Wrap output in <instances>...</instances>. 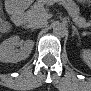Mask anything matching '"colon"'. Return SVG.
I'll return each instance as SVG.
<instances>
[{
    "label": "colon",
    "instance_id": "5ec220e1",
    "mask_svg": "<svg viewBox=\"0 0 91 91\" xmlns=\"http://www.w3.org/2000/svg\"><path fill=\"white\" fill-rule=\"evenodd\" d=\"M1 29H2L3 31H5V30H6V27H5V26H2Z\"/></svg>",
    "mask_w": 91,
    "mask_h": 91
}]
</instances>
